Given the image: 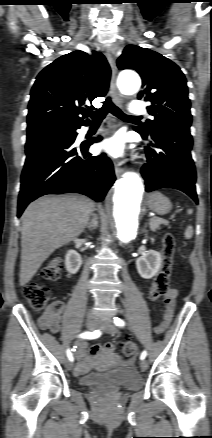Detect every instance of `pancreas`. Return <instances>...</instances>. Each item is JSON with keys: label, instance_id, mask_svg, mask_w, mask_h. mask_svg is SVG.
<instances>
[{"label": "pancreas", "instance_id": "cf45deb5", "mask_svg": "<svg viewBox=\"0 0 212 438\" xmlns=\"http://www.w3.org/2000/svg\"><path fill=\"white\" fill-rule=\"evenodd\" d=\"M161 222L159 221V218H151L149 222L150 229L155 232L157 229H159Z\"/></svg>", "mask_w": 212, "mask_h": 438}]
</instances>
